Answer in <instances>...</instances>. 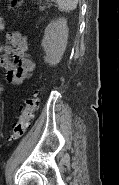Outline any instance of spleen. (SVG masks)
Here are the masks:
<instances>
[{
  "label": "spleen",
  "mask_w": 119,
  "mask_h": 185,
  "mask_svg": "<svg viewBox=\"0 0 119 185\" xmlns=\"http://www.w3.org/2000/svg\"><path fill=\"white\" fill-rule=\"evenodd\" d=\"M61 11H72L77 7L78 0H55Z\"/></svg>",
  "instance_id": "1"
}]
</instances>
